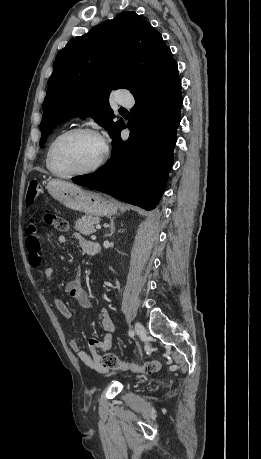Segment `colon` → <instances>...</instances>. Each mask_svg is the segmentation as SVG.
Listing matches in <instances>:
<instances>
[{"mask_svg":"<svg viewBox=\"0 0 261 459\" xmlns=\"http://www.w3.org/2000/svg\"><path fill=\"white\" fill-rule=\"evenodd\" d=\"M42 195V188L38 181H32L29 184L27 194H26V206L32 207L36 200ZM40 222L47 225H51L59 231L66 232L69 230V223L65 219L57 218L51 214H44ZM28 227L26 231V236L28 238H33L35 234L39 233L41 225L37 222L35 218H30L27 221ZM102 364L105 368L115 369L121 371H132L136 373L143 374H153L158 372L162 363L159 360H150L143 364H134L126 363L121 361L115 354L107 352L103 355Z\"/></svg>","mask_w":261,"mask_h":459,"instance_id":"obj_1","label":"colon"}]
</instances>
